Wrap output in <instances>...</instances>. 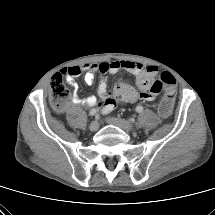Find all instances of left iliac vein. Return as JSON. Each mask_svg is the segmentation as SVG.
Instances as JSON below:
<instances>
[{
	"label": "left iliac vein",
	"instance_id": "1",
	"mask_svg": "<svg viewBox=\"0 0 215 215\" xmlns=\"http://www.w3.org/2000/svg\"><path fill=\"white\" fill-rule=\"evenodd\" d=\"M107 123L112 124L114 126H117L126 132H131L134 130L133 126L130 124V122L121 119V118H116V117H108L106 119Z\"/></svg>",
	"mask_w": 215,
	"mask_h": 215
}]
</instances>
